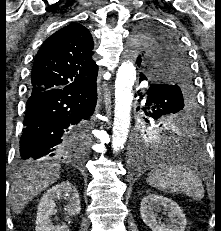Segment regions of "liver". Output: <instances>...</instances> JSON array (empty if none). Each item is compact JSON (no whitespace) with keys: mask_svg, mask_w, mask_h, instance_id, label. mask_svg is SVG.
<instances>
[{"mask_svg":"<svg viewBox=\"0 0 221 231\" xmlns=\"http://www.w3.org/2000/svg\"><path fill=\"white\" fill-rule=\"evenodd\" d=\"M61 172L57 163H36L21 168L14 176L9 192L12 211L19 214L29 201L55 183Z\"/></svg>","mask_w":221,"mask_h":231,"instance_id":"liver-1","label":"liver"}]
</instances>
